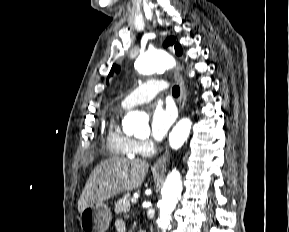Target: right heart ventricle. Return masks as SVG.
Here are the masks:
<instances>
[{"mask_svg": "<svg viewBox=\"0 0 289 232\" xmlns=\"http://www.w3.org/2000/svg\"><path fill=\"white\" fill-rule=\"evenodd\" d=\"M125 109L122 106L119 111L113 113L110 117L107 130V147L112 155L133 158L138 154L136 140L120 131L117 125L118 115Z\"/></svg>", "mask_w": 289, "mask_h": 232, "instance_id": "obj_1", "label": "right heart ventricle"}]
</instances>
